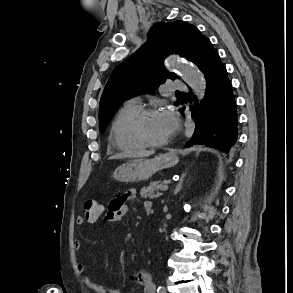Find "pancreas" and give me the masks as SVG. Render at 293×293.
<instances>
[{"label":"pancreas","mask_w":293,"mask_h":293,"mask_svg":"<svg viewBox=\"0 0 293 293\" xmlns=\"http://www.w3.org/2000/svg\"><path fill=\"white\" fill-rule=\"evenodd\" d=\"M165 184H167V181L154 182L151 186L143 188L140 191V195L141 197L149 199L158 198L162 195V192H160V190Z\"/></svg>","instance_id":"1"}]
</instances>
